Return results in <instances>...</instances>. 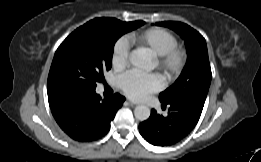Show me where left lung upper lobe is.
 <instances>
[{"instance_id":"left-lung-upper-lobe-1","label":"left lung upper lobe","mask_w":261,"mask_h":162,"mask_svg":"<svg viewBox=\"0 0 261 162\" xmlns=\"http://www.w3.org/2000/svg\"><path fill=\"white\" fill-rule=\"evenodd\" d=\"M156 25L166 26L180 34L185 40L188 54L181 75L171 87L160 93V101L171 103L178 98L187 97L204 105L212 78L205 39L184 23L164 21Z\"/></svg>"}]
</instances>
